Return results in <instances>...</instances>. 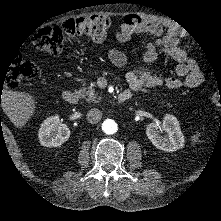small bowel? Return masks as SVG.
<instances>
[{"label":"small bowel","instance_id":"small-bowel-1","mask_svg":"<svg viewBox=\"0 0 221 221\" xmlns=\"http://www.w3.org/2000/svg\"><path fill=\"white\" fill-rule=\"evenodd\" d=\"M140 22L136 25L123 24L116 32V39L119 42H126L133 33H145V51L140 57V63L130 69L126 74V80L134 91H141L144 88L164 86L170 90L181 87L195 88L203 81V74L198 64L192 59L186 49L179 45L175 33L168 28V24L147 14L139 15ZM148 36H154L150 40ZM158 52L171 57L175 62V77H163L156 75L151 70V64L158 58ZM109 60L117 67L127 64L126 55L117 49L107 51ZM127 93L131 94L129 91Z\"/></svg>","mask_w":221,"mask_h":221}]
</instances>
